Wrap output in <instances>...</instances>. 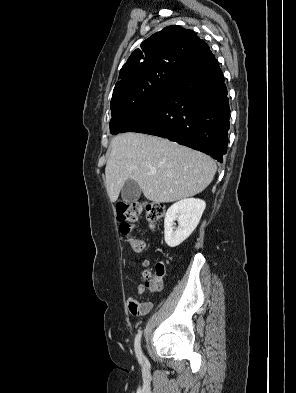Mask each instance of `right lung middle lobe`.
Masks as SVG:
<instances>
[{
  "label": "right lung middle lobe",
  "mask_w": 296,
  "mask_h": 393,
  "mask_svg": "<svg viewBox=\"0 0 296 393\" xmlns=\"http://www.w3.org/2000/svg\"><path fill=\"white\" fill-rule=\"evenodd\" d=\"M174 78H156L151 80L137 96L111 104L112 119L111 134H118L129 122L145 112L158 98L163 90L168 88Z\"/></svg>",
  "instance_id": "right-lung-middle-lobe-1"
}]
</instances>
